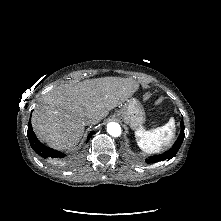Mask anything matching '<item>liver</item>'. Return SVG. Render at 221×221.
Masks as SVG:
<instances>
[{
	"label": "liver",
	"instance_id": "obj_1",
	"mask_svg": "<svg viewBox=\"0 0 221 221\" xmlns=\"http://www.w3.org/2000/svg\"><path fill=\"white\" fill-rule=\"evenodd\" d=\"M139 88L132 78L104 77L63 84L49 91L32 114V127L49 146L73 149L81 139L85 119L97 124Z\"/></svg>",
	"mask_w": 221,
	"mask_h": 221
}]
</instances>
